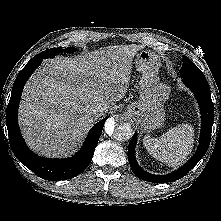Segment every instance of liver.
<instances>
[{"label": "liver", "mask_w": 221, "mask_h": 221, "mask_svg": "<svg viewBox=\"0 0 221 221\" xmlns=\"http://www.w3.org/2000/svg\"><path fill=\"white\" fill-rule=\"evenodd\" d=\"M140 45L100 48L75 58L46 60L24 87L19 124L40 155L71 154L86 131L127 93ZM102 109L100 116L93 110Z\"/></svg>", "instance_id": "obj_1"}]
</instances>
